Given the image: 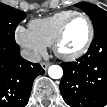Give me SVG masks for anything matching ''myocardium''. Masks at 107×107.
Listing matches in <instances>:
<instances>
[{
    "instance_id": "obj_1",
    "label": "myocardium",
    "mask_w": 107,
    "mask_h": 107,
    "mask_svg": "<svg viewBox=\"0 0 107 107\" xmlns=\"http://www.w3.org/2000/svg\"><path fill=\"white\" fill-rule=\"evenodd\" d=\"M75 18H83L86 20L88 27H89L88 37H87L84 45L79 50L72 52V53H65V52L61 51V44L64 40L65 33H66V30H67L69 24ZM93 39H94V26H93L91 19L86 14L77 12V13L73 14L72 16H70L69 18H67L65 20V22L62 24L61 28L59 29V31L54 39L52 48H53L55 55L58 58L65 60V61H74V60L80 58L81 56H83L88 51L90 45L92 44Z\"/></svg>"
}]
</instances>
